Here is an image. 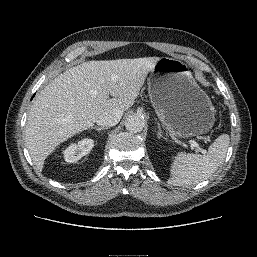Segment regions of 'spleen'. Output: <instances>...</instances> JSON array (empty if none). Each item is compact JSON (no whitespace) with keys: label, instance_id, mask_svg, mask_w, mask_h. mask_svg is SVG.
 Masks as SVG:
<instances>
[{"label":"spleen","instance_id":"3e777b00","mask_svg":"<svg viewBox=\"0 0 257 257\" xmlns=\"http://www.w3.org/2000/svg\"><path fill=\"white\" fill-rule=\"evenodd\" d=\"M229 142V135L222 134L209 147L206 155L179 152L171 165L168 184L193 186L208 179L222 164Z\"/></svg>","mask_w":257,"mask_h":257}]
</instances>
